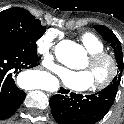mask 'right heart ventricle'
Returning a JSON list of instances; mask_svg holds the SVG:
<instances>
[{
    "label": "right heart ventricle",
    "mask_w": 124,
    "mask_h": 124,
    "mask_svg": "<svg viewBox=\"0 0 124 124\" xmlns=\"http://www.w3.org/2000/svg\"><path fill=\"white\" fill-rule=\"evenodd\" d=\"M80 42L89 53L103 51L105 49L102 39L92 32L83 33L80 36Z\"/></svg>",
    "instance_id": "1"
}]
</instances>
